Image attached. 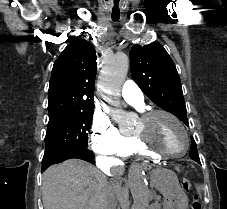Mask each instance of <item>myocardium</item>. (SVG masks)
I'll list each match as a JSON object with an SVG mask.
<instances>
[{
	"label": "myocardium",
	"mask_w": 227,
	"mask_h": 209,
	"mask_svg": "<svg viewBox=\"0 0 227 209\" xmlns=\"http://www.w3.org/2000/svg\"><path fill=\"white\" fill-rule=\"evenodd\" d=\"M157 114H163V115L171 118L180 127V129L182 130V132L184 134V138H185V144H184L183 148L177 152L163 153V152H159V151L151 148L148 145V143L144 139H142L140 137V135L137 133H134V135H133L134 140L148 155L159 158V159H172V158H177V157L184 155L189 149L190 139H189V134H188L187 128L184 125V123L180 120L179 117H177L175 114H173L172 112H170L166 109L157 108V109H149V110L144 111L140 116V121L143 122L145 120H148Z\"/></svg>",
	"instance_id": "myocardium-1"
}]
</instances>
